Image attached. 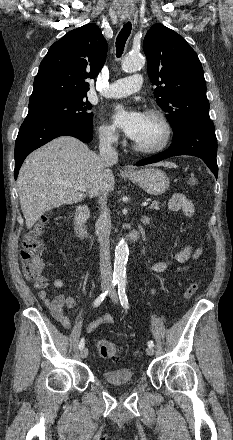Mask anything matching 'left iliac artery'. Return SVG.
<instances>
[{
    "label": "left iliac artery",
    "instance_id": "44dca946",
    "mask_svg": "<svg viewBox=\"0 0 233 440\" xmlns=\"http://www.w3.org/2000/svg\"><path fill=\"white\" fill-rule=\"evenodd\" d=\"M118 295L120 298L121 305L124 309H128V299L126 295V280L122 279L118 282ZM148 346L153 347V341H148Z\"/></svg>",
    "mask_w": 233,
    "mask_h": 440
}]
</instances>
